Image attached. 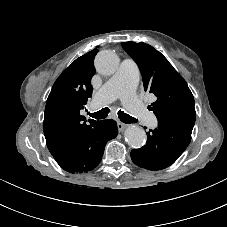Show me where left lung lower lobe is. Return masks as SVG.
Listing matches in <instances>:
<instances>
[{"instance_id": "0a47b994", "label": "left lung lower lobe", "mask_w": 227, "mask_h": 227, "mask_svg": "<svg viewBox=\"0 0 227 227\" xmlns=\"http://www.w3.org/2000/svg\"><path fill=\"white\" fill-rule=\"evenodd\" d=\"M191 141V134L158 122V127L147 132V143L131 151L132 161L148 170H161L172 165Z\"/></svg>"}]
</instances>
